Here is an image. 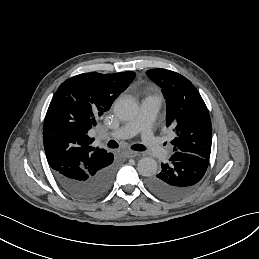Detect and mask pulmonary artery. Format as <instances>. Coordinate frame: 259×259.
<instances>
[{
	"label": "pulmonary artery",
	"mask_w": 259,
	"mask_h": 259,
	"mask_svg": "<svg viewBox=\"0 0 259 259\" xmlns=\"http://www.w3.org/2000/svg\"><path fill=\"white\" fill-rule=\"evenodd\" d=\"M163 103L164 98L160 94L145 97L140 103L138 112L133 117L122 121L120 127L111 132L110 135L113 137H129L148 127ZM101 130V128L98 129V137H101Z\"/></svg>",
	"instance_id": "1"
}]
</instances>
